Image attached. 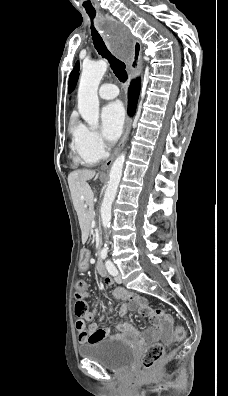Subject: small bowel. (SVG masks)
<instances>
[{
	"label": "small bowel",
	"instance_id": "1",
	"mask_svg": "<svg viewBox=\"0 0 228 396\" xmlns=\"http://www.w3.org/2000/svg\"><path fill=\"white\" fill-rule=\"evenodd\" d=\"M89 266V253L83 252L81 255L80 267L83 270H86ZM105 284L107 286H112L114 281L111 277L107 276L104 278ZM112 299L123 300L124 303L120 307L119 314L123 317L126 311L135 310L138 311L141 315L151 316L152 318V327L140 334V332L129 322L124 321L113 328L105 327L99 328L96 322H92L87 328L78 329V341L81 344L85 343H93L104 339L109 338H139L141 342H148L152 340H156L160 338L163 334L167 333L171 326V318L165 317L163 320H160L156 316H154L150 308L148 307L144 298L137 296L135 294L130 293L128 290L117 287L112 291ZM114 305L111 304L108 310L101 314L98 318V321H103L105 318L110 316L113 313ZM96 310L87 311L85 315V319L92 320L96 316ZM114 331V334H111Z\"/></svg>",
	"mask_w": 228,
	"mask_h": 396
}]
</instances>
